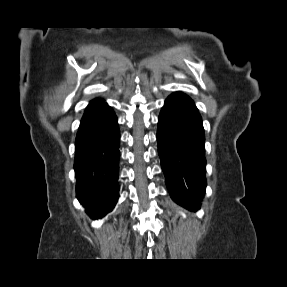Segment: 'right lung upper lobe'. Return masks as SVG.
<instances>
[{"instance_id":"1","label":"right lung upper lobe","mask_w":287,"mask_h":287,"mask_svg":"<svg viewBox=\"0 0 287 287\" xmlns=\"http://www.w3.org/2000/svg\"><path fill=\"white\" fill-rule=\"evenodd\" d=\"M102 102H104V100H100V99H98V98H97V99H94V100H92V101L89 103V105H88L87 108L96 106V105H98V104H100V103H102Z\"/></svg>"}]
</instances>
